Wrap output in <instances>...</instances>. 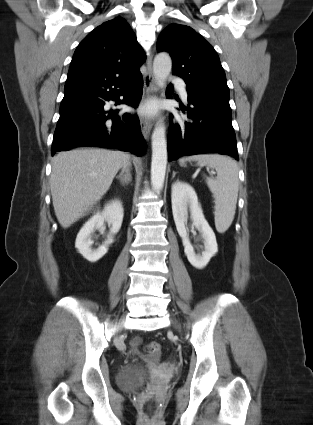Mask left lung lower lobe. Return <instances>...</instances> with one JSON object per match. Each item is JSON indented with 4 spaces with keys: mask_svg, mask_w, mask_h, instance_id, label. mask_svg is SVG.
<instances>
[{
    "mask_svg": "<svg viewBox=\"0 0 313 425\" xmlns=\"http://www.w3.org/2000/svg\"><path fill=\"white\" fill-rule=\"evenodd\" d=\"M171 93L170 85L166 92L168 98ZM187 93L190 106L181 110L187 111L189 121L173 124L170 115L168 160L205 153L229 155L239 160L229 98L195 92L188 87Z\"/></svg>",
    "mask_w": 313,
    "mask_h": 425,
    "instance_id": "0a47b994",
    "label": "left lung lower lobe"
}]
</instances>
